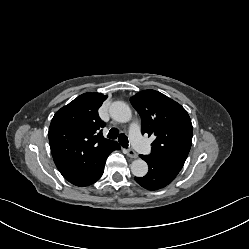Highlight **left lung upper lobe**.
<instances>
[{"label":"left lung upper lobe","instance_id":"left-lung-upper-lobe-1","mask_svg":"<svg viewBox=\"0 0 249 249\" xmlns=\"http://www.w3.org/2000/svg\"><path fill=\"white\" fill-rule=\"evenodd\" d=\"M130 102L142 120V133L154 135L151 153L146 157L159 167L179 173L192 144V123L186 110L155 90H144Z\"/></svg>","mask_w":249,"mask_h":249}]
</instances>
